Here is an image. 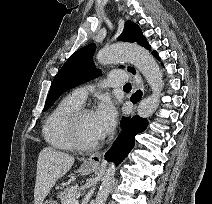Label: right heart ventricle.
<instances>
[{
	"label": "right heart ventricle",
	"mask_w": 212,
	"mask_h": 204,
	"mask_svg": "<svg viewBox=\"0 0 212 204\" xmlns=\"http://www.w3.org/2000/svg\"><path fill=\"white\" fill-rule=\"evenodd\" d=\"M81 106V102L69 95L62 98L53 108L42 129L44 140L50 147L59 151L74 150L66 133L65 122L67 117Z\"/></svg>",
	"instance_id": "right-heart-ventricle-1"
}]
</instances>
